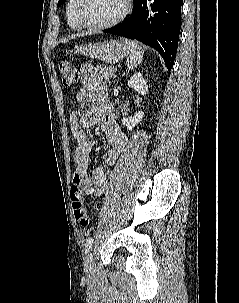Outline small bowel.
Masks as SVG:
<instances>
[{"label":"small bowel","instance_id":"obj_1","mask_svg":"<svg viewBox=\"0 0 239 303\" xmlns=\"http://www.w3.org/2000/svg\"><path fill=\"white\" fill-rule=\"evenodd\" d=\"M80 72L82 85L76 94L75 102L78 104L91 102L92 104L85 111L81 120L75 114H72L70 119L76 143L73 152L76 168L72 177V187H79L88 195L102 196L110 180L107 166L116 162L127 146L128 139L116 122L113 105L107 96V85L98 69L90 64H83ZM95 125L101 126L111 149L106 156L107 166L96 167L89 176L90 154L96 145V140L87 135L84 128Z\"/></svg>","mask_w":239,"mask_h":303}]
</instances>
